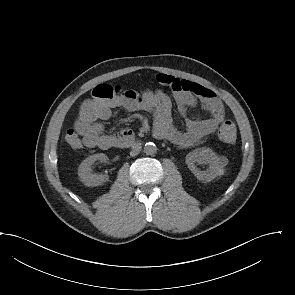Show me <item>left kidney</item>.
<instances>
[{
    "instance_id": "1",
    "label": "left kidney",
    "mask_w": 295,
    "mask_h": 295,
    "mask_svg": "<svg viewBox=\"0 0 295 295\" xmlns=\"http://www.w3.org/2000/svg\"><path fill=\"white\" fill-rule=\"evenodd\" d=\"M185 162L200 181L210 182L224 173L222 158L210 148H198L189 152L186 155ZM196 164H209V169L207 171H200Z\"/></svg>"
}]
</instances>
